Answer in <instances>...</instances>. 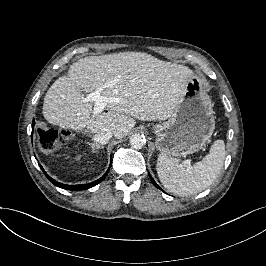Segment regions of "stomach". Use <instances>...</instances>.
I'll use <instances>...</instances> for the list:
<instances>
[{
	"instance_id": "1",
	"label": "stomach",
	"mask_w": 266,
	"mask_h": 266,
	"mask_svg": "<svg viewBox=\"0 0 266 266\" xmlns=\"http://www.w3.org/2000/svg\"><path fill=\"white\" fill-rule=\"evenodd\" d=\"M156 148L167 156L182 157L199 151L215 130L213 103L194 76L168 120L152 127Z\"/></svg>"
}]
</instances>
